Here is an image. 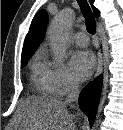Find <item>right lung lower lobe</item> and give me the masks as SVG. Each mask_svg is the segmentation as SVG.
Returning <instances> with one entry per match:
<instances>
[{"instance_id":"98d812e1","label":"right lung lower lobe","mask_w":123,"mask_h":130,"mask_svg":"<svg viewBox=\"0 0 123 130\" xmlns=\"http://www.w3.org/2000/svg\"><path fill=\"white\" fill-rule=\"evenodd\" d=\"M102 75L85 86L79 96V107L86 114L92 127L102 89Z\"/></svg>"}]
</instances>
